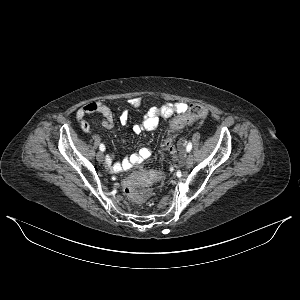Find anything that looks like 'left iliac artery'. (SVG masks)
<instances>
[{
    "label": "left iliac artery",
    "mask_w": 300,
    "mask_h": 300,
    "mask_svg": "<svg viewBox=\"0 0 300 300\" xmlns=\"http://www.w3.org/2000/svg\"><path fill=\"white\" fill-rule=\"evenodd\" d=\"M191 149H192V143L189 142V143L187 144V146H186V151H187V152H190Z\"/></svg>",
    "instance_id": "left-iliac-artery-1"
}]
</instances>
